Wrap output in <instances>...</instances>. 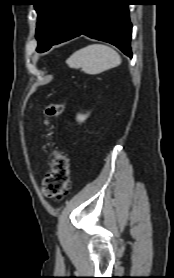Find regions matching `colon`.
Here are the masks:
<instances>
[{"label":"colon","mask_w":174,"mask_h":278,"mask_svg":"<svg viewBox=\"0 0 174 278\" xmlns=\"http://www.w3.org/2000/svg\"><path fill=\"white\" fill-rule=\"evenodd\" d=\"M64 111L62 104H49L44 113L49 118L60 116ZM70 163L66 154L56 149L51 153V166L42 182V192L47 198L62 199L69 193Z\"/></svg>","instance_id":"5ec220e1"}]
</instances>
